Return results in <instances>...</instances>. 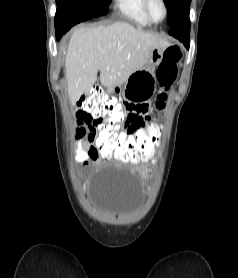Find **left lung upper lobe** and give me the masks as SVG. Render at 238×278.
Listing matches in <instances>:
<instances>
[{
  "label": "left lung upper lobe",
  "instance_id": "obj_1",
  "mask_svg": "<svg viewBox=\"0 0 238 278\" xmlns=\"http://www.w3.org/2000/svg\"><path fill=\"white\" fill-rule=\"evenodd\" d=\"M168 6V25H173L186 9L189 8L191 0H166Z\"/></svg>",
  "mask_w": 238,
  "mask_h": 278
}]
</instances>
